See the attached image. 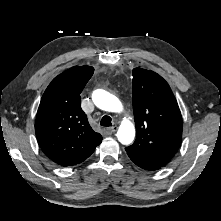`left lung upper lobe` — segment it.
Listing matches in <instances>:
<instances>
[{
	"instance_id": "obj_1",
	"label": "left lung upper lobe",
	"mask_w": 221,
	"mask_h": 221,
	"mask_svg": "<svg viewBox=\"0 0 221 221\" xmlns=\"http://www.w3.org/2000/svg\"><path fill=\"white\" fill-rule=\"evenodd\" d=\"M132 102L136 140L128 155L164 166L177 152L182 139V117L168 83L157 73L135 68Z\"/></svg>"
}]
</instances>
